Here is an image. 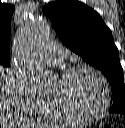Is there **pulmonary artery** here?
Masks as SVG:
<instances>
[{
  "label": "pulmonary artery",
  "mask_w": 125,
  "mask_h": 128,
  "mask_svg": "<svg viewBox=\"0 0 125 128\" xmlns=\"http://www.w3.org/2000/svg\"><path fill=\"white\" fill-rule=\"evenodd\" d=\"M66 54L65 49L58 44H46L42 50V58L53 65H58L63 61Z\"/></svg>",
  "instance_id": "e3ab8cb5"
}]
</instances>
